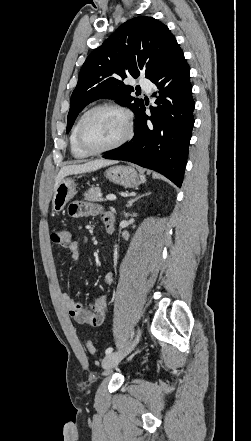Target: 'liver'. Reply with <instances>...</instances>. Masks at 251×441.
Wrapping results in <instances>:
<instances>
[{
  "label": "liver",
  "instance_id": "1",
  "mask_svg": "<svg viewBox=\"0 0 251 441\" xmlns=\"http://www.w3.org/2000/svg\"><path fill=\"white\" fill-rule=\"evenodd\" d=\"M115 161L110 160H104V159H97L93 161H89L83 164H73V165H67L60 169L54 185V190L58 187L62 179H64L68 175L72 174H80V173H86L90 171H96L102 167L115 164Z\"/></svg>",
  "mask_w": 251,
  "mask_h": 441
}]
</instances>
